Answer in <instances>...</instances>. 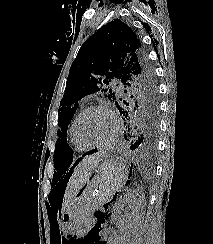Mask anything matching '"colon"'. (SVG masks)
<instances>
[{
	"label": "colon",
	"instance_id": "1",
	"mask_svg": "<svg viewBox=\"0 0 213 244\" xmlns=\"http://www.w3.org/2000/svg\"><path fill=\"white\" fill-rule=\"evenodd\" d=\"M98 244H105L104 242L98 243Z\"/></svg>",
	"mask_w": 213,
	"mask_h": 244
}]
</instances>
